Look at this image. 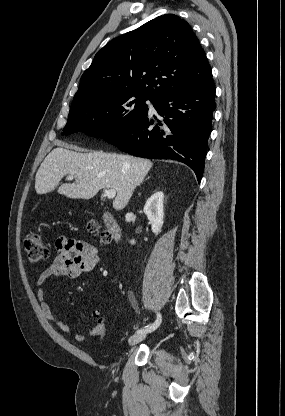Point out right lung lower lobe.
Listing matches in <instances>:
<instances>
[{
	"mask_svg": "<svg viewBox=\"0 0 285 416\" xmlns=\"http://www.w3.org/2000/svg\"><path fill=\"white\" fill-rule=\"evenodd\" d=\"M163 121L147 116L127 130L104 139L120 150L150 159H175L193 169L200 182L215 110L212 77L154 103ZM148 115V114H147ZM156 124L155 127L150 125Z\"/></svg>",
	"mask_w": 285,
	"mask_h": 416,
	"instance_id": "right-lung-lower-lobe-1",
	"label": "right lung lower lobe"
}]
</instances>
